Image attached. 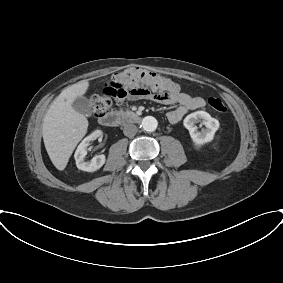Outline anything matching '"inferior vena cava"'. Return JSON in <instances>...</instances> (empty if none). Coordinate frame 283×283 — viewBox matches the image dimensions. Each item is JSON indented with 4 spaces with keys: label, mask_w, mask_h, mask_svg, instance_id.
Returning <instances> with one entry per match:
<instances>
[{
    "label": "inferior vena cava",
    "mask_w": 283,
    "mask_h": 283,
    "mask_svg": "<svg viewBox=\"0 0 283 283\" xmlns=\"http://www.w3.org/2000/svg\"><path fill=\"white\" fill-rule=\"evenodd\" d=\"M124 135L132 137L137 133V127L133 124H127L123 128Z\"/></svg>",
    "instance_id": "obj_1"
}]
</instances>
